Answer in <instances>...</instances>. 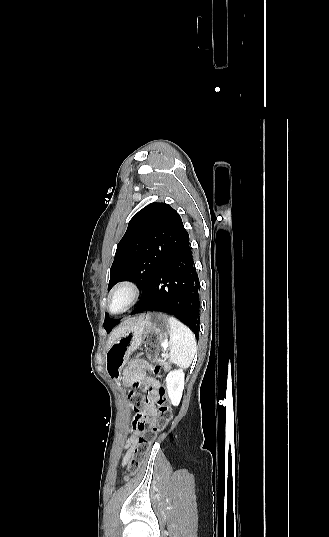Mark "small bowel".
<instances>
[{
    "label": "small bowel",
    "mask_w": 329,
    "mask_h": 537,
    "mask_svg": "<svg viewBox=\"0 0 329 537\" xmlns=\"http://www.w3.org/2000/svg\"><path fill=\"white\" fill-rule=\"evenodd\" d=\"M152 371V366L149 362L142 358H134L124 371L123 381L125 384H130L135 389H140L144 383L149 390V402L145 408L146 419L150 422L154 421L158 415L157 394L160 387V382L148 373ZM129 395L134 393L132 388L127 390ZM140 431L136 428L133 422V430L126 440L124 446V454L122 458V466H127L133 457L135 447L138 443Z\"/></svg>",
    "instance_id": "1"
}]
</instances>
